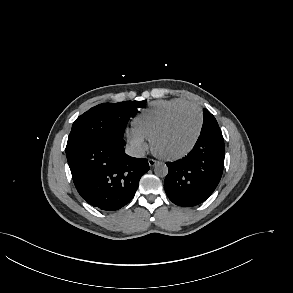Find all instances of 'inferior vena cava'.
Masks as SVG:
<instances>
[{
	"label": "inferior vena cava",
	"instance_id": "obj_1",
	"mask_svg": "<svg viewBox=\"0 0 293 293\" xmlns=\"http://www.w3.org/2000/svg\"><path fill=\"white\" fill-rule=\"evenodd\" d=\"M126 153L132 157L142 158L145 155V149L139 145H128L126 147Z\"/></svg>",
	"mask_w": 293,
	"mask_h": 293
}]
</instances>
